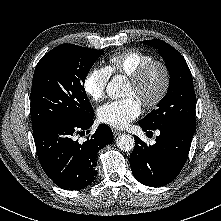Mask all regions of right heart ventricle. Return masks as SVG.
Wrapping results in <instances>:
<instances>
[{"instance_id":"right-heart-ventricle-1","label":"right heart ventricle","mask_w":221,"mask_h":221,"mask_svg":"<svg viewBox=\"0 0 221 221\" xmlns=\"http://www.w3.org/2000/svg\"><path fill=\"white\" fill-rule=\"evenodd\" d=\"M154 60L151 53L128 49L112 54L109 58L108 69L114 75H124L131 77L141 66Z\"/></svg>"}]
</instances>
